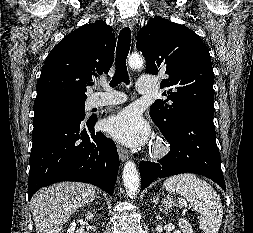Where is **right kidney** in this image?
Here are the masks:
<instances>
[{
	"label": "right kidney",
	"mask_w": 253,
	"mask_h": 233,
	"mask_svg": "<svg viewBox=\"0 0 253 233\" xmlns=\"http://www.w3.org/2000/svg\"><path fill=\"white\" fill-rule=\"evenodd\" d=\"M92 218H94V215L92 213H88L86 215V219L88 220H92ZM76 228V223L73 221L70 223V226L68 227L67 233H74Z\"/></svg>",
	"instance_id": "right-kidney-1"
}]
</instances>
